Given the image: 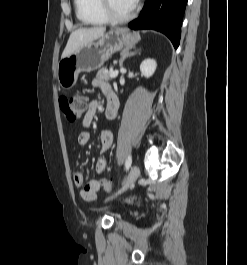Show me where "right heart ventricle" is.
<instances>
[{
  "label": "right heart ventricle",
  "mask_w": 247,
  "mask_h": 265,
  "mask_svg": "<svg viewBox=\"0 0 247 265\" xmlns=\"http://www.w3.org/2000/svg\"><path fill=\"white\" fill-rule=\"evenodd\" d=\"M78 19L87 25H104L107 18L100 8V0H74Z\"/></svg>",
  "instance_id": "obj_1"
}]
</instances>
